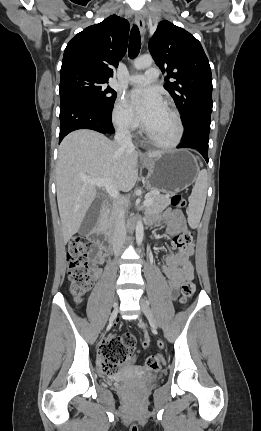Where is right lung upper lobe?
<instances>
[{
	"instance_id": "cb5924a9",
	"label": "right lung upper lobe",
	"mask_w": 261,
	"mask_h": 431,
	"mask_svg": "<svg viewBox=\"0 0 261 431\" xmlns=\"http://www.w3.org/2000/svg\"><path fill=\"white\" fill-rule=\"evenodd\" d=\"M129 23L111 15L78 33L65 48L60 75L83 72L108 81L127 50Z\"/></svg>"
}]
</instances>
